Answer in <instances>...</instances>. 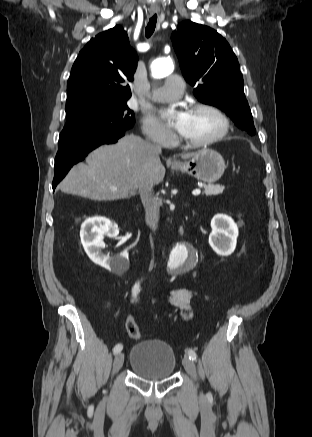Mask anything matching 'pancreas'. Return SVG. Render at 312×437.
Wrapping results in <instances>:
<instances>
[{"instance_id": "pancreas-1", "label": "pancreas", "mask_w": 312, "mask_h": 437, "mask_svg": "<svg viewBox=\"0 0 312 437\" xmlns=\"http://www.w3.org/2000/svg\"><path fill=\"white\" fill-rule=\"evenodd\" d=\"M203 187L205 189L204 194L206 196L219 195L225 190V187L221 185L208 184L203 185Z\"/></svg>"}]
</instances>
